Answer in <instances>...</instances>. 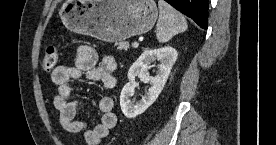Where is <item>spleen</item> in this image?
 <instances>
[{
  "label": "spleen",
  "mask_w": 276,
  "mask_h": 145,
  "mask_svg": "<svg viewBox=\"0 0 276 145\" xmlns=\"http://www.w3.org/2000/svg\"><path fill=\"white\" fill-rule=\"evenodd\" d=\"M159 19L157 22V39L161 43L168 42L174 35L187 29L184 16L164 0L158 1Z\"/></svg>",
  "instance_id": "spleen-1"
}]
</instances>
